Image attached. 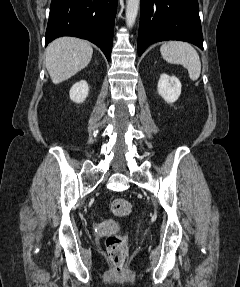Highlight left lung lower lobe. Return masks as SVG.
<instances>
[{
    "instance_id": "obj_1",
    "label": "left lung lower lobe",
    "mask_w": 240,
    "mask_h": 287,
    "mask_svg": "<svg viewBox=\"0 0 240 287\" xmlns=\"http://www.w3.org/2000/svg\"><path fill=\"white\" fill-rule=\"evenodd\" d=\"M167 40L203 49L198 0H141L138 55L150 44Z\"/></svg>"
}]
</instances>
